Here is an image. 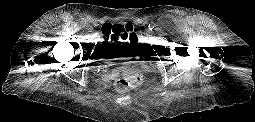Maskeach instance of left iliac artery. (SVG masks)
Here are the masks:
<instances>
[{"label":"left iliac artery","instance_id":"obj_1","mask_svg":"<svg viewBox=\"0 0 255 122\" xmlns=\"http://www.w3.org/2000/svg\"><path fill=\"white\" fill-rule=\"evenodd\" d=\"M155 27V23L149 24V29H153Z\"/></svg>","mask_w":255,"mask_h":122}]
</instances>
